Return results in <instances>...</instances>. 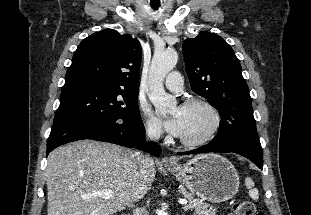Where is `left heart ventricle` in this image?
I'll list each match as a JSON object with an SVG mask.
<instances>
[{"instance_id":"left-heart-ventricle-1","label":"left heart ventricle","mask_w":311,"mask_h":215,"mask_svg":"<svg viewBox=\"0 0 311 215\" xmlns=\"http://www.w3.org/2000/svg\"><path fill=\"white\" fill-rule=\"evenodd\" d=\"M180 112L183 116V131L180 138L196 140L203 137L212 124L211 114L203 107H179L174 113Z\"/></svg>"}]
</instances>
